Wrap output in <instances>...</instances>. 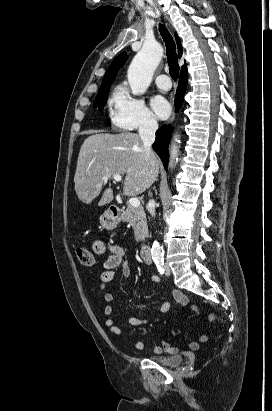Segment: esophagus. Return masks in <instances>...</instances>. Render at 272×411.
<instances>
[{
  "mask_svg": "<svg viewBox=\"0 0 272 411\" xmlns=\"http://www.w3.org/2000/svg\"><path fill=\"white\" fill-rule=\"evenodd\" d=\"M174 118H175V114H173V115H172V117L170 118V120H169V122H168V123L173 122Z\"/></svg>",
  "mask_w": 272,
  "mask_h": 411,
  "instance_id": "esophagus-1",
  "label": "esophagus"
}]
</instances>
